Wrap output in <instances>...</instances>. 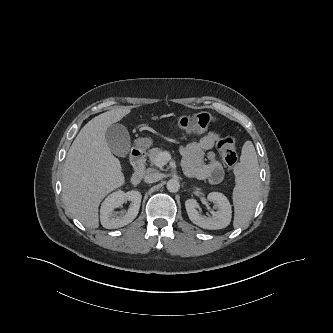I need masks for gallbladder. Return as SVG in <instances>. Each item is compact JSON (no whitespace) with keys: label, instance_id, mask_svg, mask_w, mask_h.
Returning a JSON list of instances; mask_svg holds the SVG:
<instances>
[{"label":"gallbladder","instance_id":"obj_1","mask_svg":"<svg viewBox=\"0 0 333 333\" xmlns=\"http://www.w3.org/2000/svg\"><path fill=\"white\" fill-rule=\"evenodd\" d=\"M110 151L118 157H126L130 151L131 141L127 128L119 123L111 124L105 133Z\"/></svg>","mask_w":333,"mask_h":333}]
</instances>
